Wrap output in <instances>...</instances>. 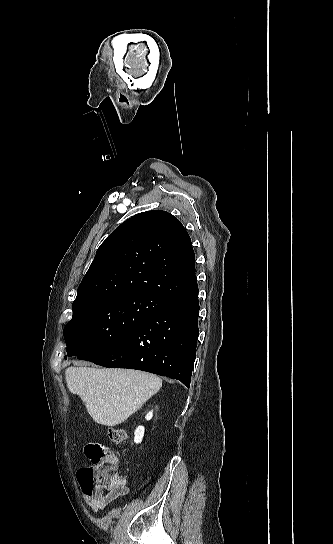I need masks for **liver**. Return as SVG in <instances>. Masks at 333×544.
<instances>
[{
	"label": "liver",
	"mask_w": 333,
	"mask_h": 544,
	"mask_svg": "<svg viewBox=\"0 0 333 544\" xmlns=\"http://www.w3.org/2000/svg\"><path fill=\"white\" fill-rule=\"evenodd\" d=\"M65 380L93 420L110 427L127 420L162 386L158 376L131 369L69 367Z\"/></svg>",
	"instance_id": "liver-1"
}]
</instances>
